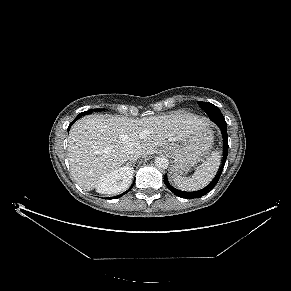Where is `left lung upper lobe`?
I'll return each instance as SVG.
<instances>
[{"label": "left lung upper lobe", "instance_id": "1", "mask_svg": "<svg viewBox=\"0 0 291 291\" xmlns=\"http://www.w3.org/2000/svg\"><path fill=\"white\" fill-rule=\"evenodd\" d=\"M198 105L207 113L209 117L222 116L220 109L209 102L198 101Z\"/></svg>", "mask_w": 291, "mask_h": 291}]
</instances>
